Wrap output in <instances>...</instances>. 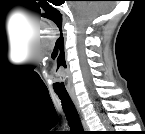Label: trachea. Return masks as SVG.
<instances>
[{"label": "trachea", "mask_w": 145, "mask_h": 134, "mask_svg": "<svg viewBox=\"0 0 145 134\" xmlns=\"http://www.w3.org/2000/svg\"><path fill=\"white\" fill-rule=\"evenodd\" d=\"M58 96L61 100L62 107L71 130L77 133L84 132L78 112L70 96L60 94H58Z\"/></svg>", "instance_id": "3493384b"}]
</instances>
